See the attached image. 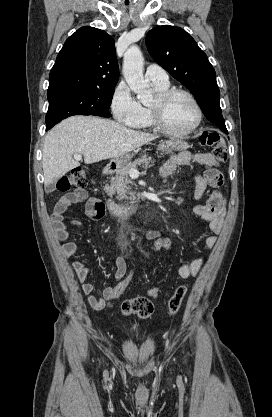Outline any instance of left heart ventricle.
I'll return each instance as SVG.
<instances>
[{
    "label": "left heart ventricle",
    "mask_w": 272,
    "mask_h": 417,
    "mask_svg": "<svg viewBox=\"0 0 272 417\" xmlns=\"http://www.w3.org/2000/svg\"><path fill=\"white\" fill-rule=\"evenodd\" d=\"M156 103V100L152 105ZM163 121L173 131H186L196 121V110L192 102L184 95L173 97L164 107Z\"/></svg>",
    "instance_id": "obj_1"
}]
</instances>
